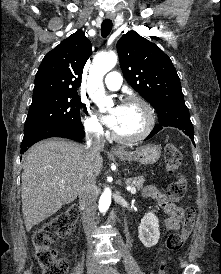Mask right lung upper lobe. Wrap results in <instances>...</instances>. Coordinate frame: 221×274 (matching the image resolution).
<instances>
[{"label":"right lung upper lobe","instance_id":"obj_1","mask_svg":"<svg viewBox=\"0 0 221 274\" xmlns=\"http://www.w3.org/2000/svg\"><path fill=\"white\" fill-rule=\"evenodd\" d=\"M91 49L89 39L78 30L48 52L35 76L33 99L77 93Z\"/></svg>","mask_w":221,"mask_h":274}]
</instances>
